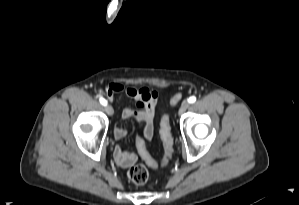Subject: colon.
<instances>
[{
  "instance_id": "obj_1",
  "label": "colon",
  "mask_w": 299,
  "mask_h": 205,
  "mask_svg": "<svg viewBox=\"0 0 299 205\" xmlns=\"http://www.w3.org/2000/svg\"><path fill=\"white\" fill-rule=\"evenodd\" d=\"M181 97H182L181 93L175 94L170 100V105L175 106L180 101ZM138 122L140 124L144 123L140 119L138 120ZM160 136H161L163 150H164L163 159L160 162H157L154 159H152V157L147 151L144 138H142L141 136L136 137V146L141 158L146 162L147 165H149L152 168H158L167 165L169 159L172 156L173 139L171 135V127H170V121L168 115H164L162 117L161 126H160ZM128 177L134 184L142 185L147 182L149 174L145 166L138 164L132 166L129 169Z\"/></svg>"
}]
</instances>
